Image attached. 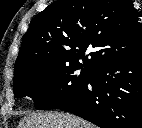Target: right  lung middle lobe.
Returning a JSON list of instances; mask_svg holds the SVG:
<instances>
[{
  "label": "right lung middle lobe",
  "instance_id": "dd1d6c3e",
  "mask_svg": "<svg viewBox=\"0 0 142 128\" xmlns=\"http://www.w3.org/2000/svg\"><path fill=\"white\" fill-rule=\"evenodd\" d=\"M83 67L80 64L37 65L14 77V93L17 97H31L40 110L61 108L88 83L92 70Z\"/></svg>",
  "mask_w": 142,
  "mask_h": 128
}]
</instances>
